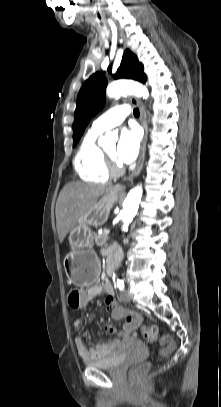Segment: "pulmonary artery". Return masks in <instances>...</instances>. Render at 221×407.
I'll return each mask as SVG.
<instances>
[{
	"instance_id": "obj_1",
	"label": "pulmonary artery",
	"mask_w": 221,
	"mask_h": 407,
	"mask_svg": "<svg viewBox=\"0 0 221 407\" xmlns=\"http://www.w3.org/2000/svg\"><path fill=\"white\" fill-rule=\"evenodd\" d=\"M130 111V107L127 104L115 106L99 116L92 123L91 130L97 133H102L116 127L124 121V119L130 114Z\"/></svg>"
}]
</instances>
